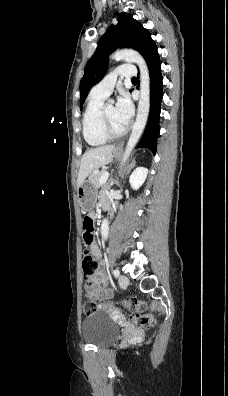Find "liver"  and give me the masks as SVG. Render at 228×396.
<instances>
[{"label": "liver", "instance_id": "liver-1", "mask_svg": "<svg viewBox=\"0 0 228 396\" xmlns=\"http://www.w3.org/2000/svg\"><path fill=\"white\" fill-rule=\"evenodd\" d=\"M114 149V145L99 146L88 149L83 154L78 172L77 187L85 181L87 176L91 175L101 166L111 162Z\"/></svg>", "mask_w": 228, "mask_h": 396}]
</instances>
